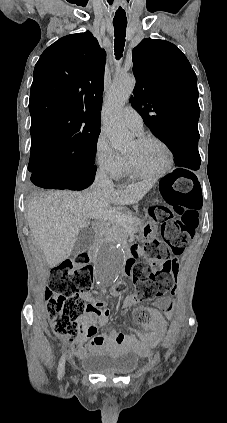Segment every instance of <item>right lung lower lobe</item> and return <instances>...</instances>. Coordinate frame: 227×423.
<instances>
[{
  "instance_id": "obj_1",
  "label": "right lung lower lobe",
  "mask_w": 227,
  "mask_h": 423,
  "mask_svg": "<svg viewBox=\"0 0 227 423\" xmlns=\"http://www.w3.org/2000/svg\"><path fill=\"white\" fill-rule=\"evenodd\" d=\"M44 166L45 169L32 172L31 181L45 189L82 190L92 184L96 173L57 159L48 160Z\"/></svg>"
}]
</instances>
